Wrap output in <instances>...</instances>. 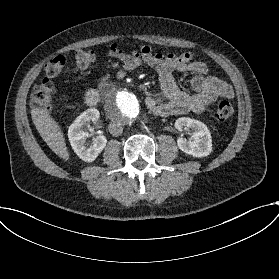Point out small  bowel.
Masks as SVG:
<instances>
[{
  "label": "small bowel",
  "instance_id": "small-bowel-1",
  "mask_svg": "<svg viewBox=\"0 0 279 279\" xmlns=\"http://www.w3.org/2000/svg\"><path fill=\"white\" fill-rule=\"evenodd\" d=\"M108 54L119 60L123 69L135 70L146 66L156 74L161 92L148 97L146 106L158 116L183 114L188 111L203 112L218 97L231 98L232 87L220 78L208 75V66L196 60L191 52L157 53L143 45L131 52H125L117 44H112ZM189 71L193 93L182 90L176 83L174 72Z\"/></svg>",
  "mask_w": 279,
  "mask_h": 279
}]
</instances>
